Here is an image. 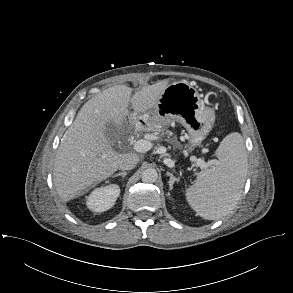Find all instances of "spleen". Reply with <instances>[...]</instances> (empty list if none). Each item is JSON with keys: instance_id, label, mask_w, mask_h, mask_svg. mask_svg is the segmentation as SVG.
<instances>
[{"instance_id": "spleen-1", "label": "spleen", "mask_w": 293, "mask_h": 293, "mask_svg": "<svg viewBox=\"0 0 293 293\" xmlns=\"http://www.w3.org/2000/svg\"><path fill=\"white\" fill-rule=\"evenodd\" d=\"M215 166L202 170L194 185L186 190V199L194 211L206 220H218L236 206L245 183L247 155L240 133L227 135L217 148Z\"/></svg>"}]
</instances>
